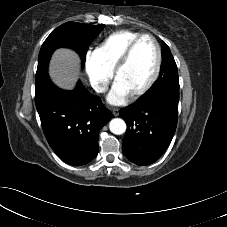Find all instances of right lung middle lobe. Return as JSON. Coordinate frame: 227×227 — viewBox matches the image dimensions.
Listing matches in <instances>:
<instances>
[{"mask_svg": "<svg viewBox=\"0 0 227 227\" xmlns=\"http://www.w3.org/2000/svg\"><path fill=\"white\" fill-rule=\"evenodd\" d=\"M104 24L87 25L76 22H67L57 27L44 41L39 57L36 73V81L47 75V68L50 57L57 48H70L75 50L81 57L82 66L89 45L93 39L103 30Z\"/></svg>", "mask_w": 227, "mask_h": 227, "instance_id": "right-lung-middle-lobe-1", "label": "right lung middle lobe"}]
</instances>
